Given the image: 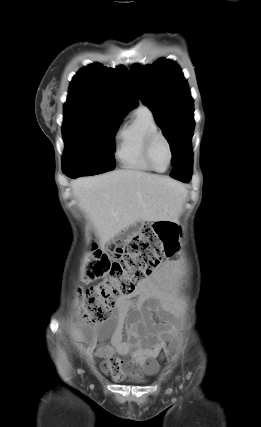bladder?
Listing matches in <instances>:
<instances>
[{
  "mask_svg": "<svg viewBox=\"0 0 261 427\" xmlns=\"http://www.w3.org/2000/svg\"><path fill=\"white\" fill-rule=\"evenodd\" d=\"M148 381L149 380L146 378H138L134 380L135 383H139V384H144V383H147Z\"/></svg>",
  "mask_w": 261,
  "mask_h": 427,
  "instance_id": "31cf9c89",
  "label": "bladder"
}]
</instances>
